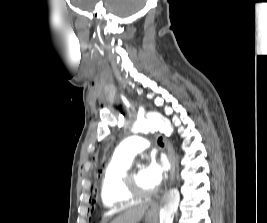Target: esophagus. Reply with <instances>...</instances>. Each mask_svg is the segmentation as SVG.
<instances>
[{"instance_id": "obj_1", "label": "esophagus", "mask_w": 267, "mask_h": 223, "mask_svg": "<svg viewBox=\"0 0 267 223\" xmlns=\"http://www.w3.org/2000/svg\"><path fill=\"white\" fill-rule=\"evenodd\" d=\"M163 140H164L165 147L167 149L168 159L171 163L170 179L173 180L175 177V170H176L175 152L170 141L166 137H164ZM155 210H156V206L153 207L152 211H155Z\"/></svg>"}]
</instances>
